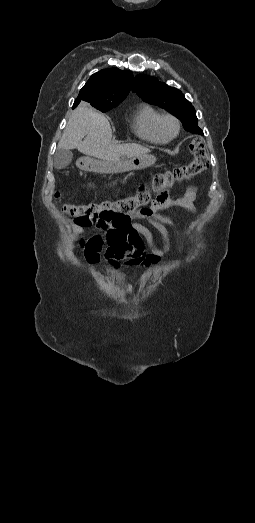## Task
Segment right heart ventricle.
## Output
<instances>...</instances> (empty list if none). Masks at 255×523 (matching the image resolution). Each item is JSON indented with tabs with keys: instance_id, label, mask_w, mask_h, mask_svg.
<instances>
[{
	"instance_id": "e07e8e85",
	"label": "right heart ventricle",
	"mask_w": 255,
	"mask_h": 523,
	"mask_svg": "<svg viewBox=\"0 0 255 523\" xmlns=\"http://www.w3.org/2000/svg\"><path fill=\"white\" fill-rule=\"evenodd\" d=\"M161 115V112L151 104H142L134 121L135 134L140 139L148 142L163 143L165 139L162 137L158 128V121Z\"/></svg>"
}]
</instances>
